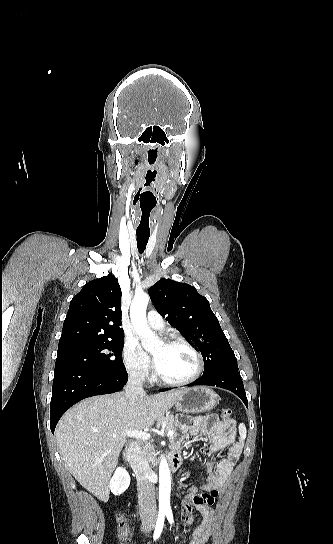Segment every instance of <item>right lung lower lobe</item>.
Segmentation results:
<instances>
[{
	"label": "right lung lower lobe",
	"instance_id": "1",
	"mask_svg": "<svg viewBox=\"0 0 333 544\" xmlns=\"http://www.w3.org/2000/svg\"><path fill=\"white\" fill-rule=\"evenodd\" d=\"M127 380L128 376H112L72 363L55 364L50 403L52 433L61 416L75 403L87 397L118 392Z\"/></svg>",
	"mask_w": 333,
	"mask_h": 544
}]
</instances>
